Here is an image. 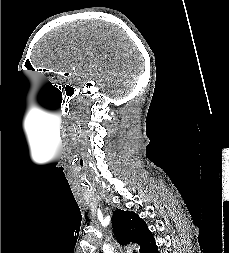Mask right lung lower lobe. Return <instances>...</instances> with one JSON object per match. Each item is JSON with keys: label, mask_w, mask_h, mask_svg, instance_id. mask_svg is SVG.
Masks as SVG:
<instances>
[{"label": "right lung lower lobe", "mask_w": 229, "mask_h": 253, "mask_svg": "<svg viewBox=\"0 0 229 253\" xmlns=\"http://www.w3.org/2000/svg\"><path fill=\"white\" fill-rule=\"evenodd\" d=\"M143 253H159L155 242H153Z\"/></svg>", "instance_id": "right-lung-lower-lobe-1"}]
</instances>
